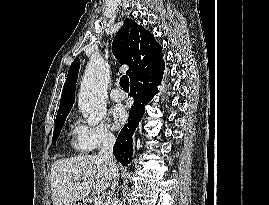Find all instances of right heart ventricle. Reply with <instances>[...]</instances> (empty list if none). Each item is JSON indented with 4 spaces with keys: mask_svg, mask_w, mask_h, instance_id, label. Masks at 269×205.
Returning a JSON list of instances; mask_svg holds the SVG:
<instances>
[{
    "mask_svg": "<svg viewBox=\"0 0 269 205\" xmlns=\"http://www.w3.org/2000/svg\"><path fill=\"white\" fill-rule=\"evenodd\" d=\"M75 147H76L78 150H80V151H85V149H83L82 147H80V146L78 145V143L75 144Z\"/></svg>",
    "mask_w": 269,
    "mask_h": 205,
    "instance_id": "1",
    "label": "right heart ventricle"
}]
</instances>
